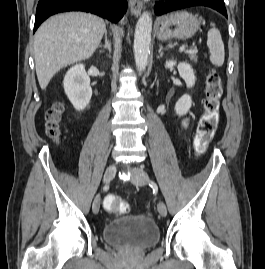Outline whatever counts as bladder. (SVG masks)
<instances>
[{"label": "bladder", "mask_w": 265, "mask_h": 269, "mask_svg": "<svg viewBox=\"0 0 265 269\" xmlns=\"http://www.w3.org/2000/svg\"><path fill=\"white\" fill-rule=\"evenodd\" d=\"M103 238L119 248L143 250L158 243L160 232L147 216H124L105 225Z\"/></svg>", "instance_id": "1"}]
</instances>
